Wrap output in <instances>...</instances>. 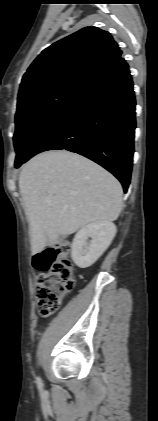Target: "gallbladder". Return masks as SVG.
Wrapping results in <instances>:
<instances>
[{
  "mask_svg": "<svg viewBox=\"0 0 158 421\" xmlns=\"http://www.w3.org/2000/svg\"><path fill=\"white\" fill-rule=\"evenodd\" d=\"M61 239H62V237L60 236L59 240H61ZM47 245H51V243L49 241H47Z\"/></svg>",
  "mask_w": 158,
  "mask_h": 421,
  "instance_id": "1",
  "label": "gallbladder"
}]
</instances>
